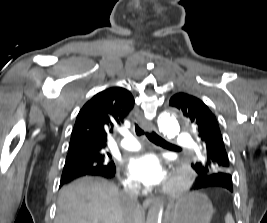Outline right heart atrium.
Listing matches in <instances>:
<instances>
[{
	"mask_svg": "<svg viewBox=\"0 0 267 223\" xmlns=\"http://www.w3.org/2000/svg\"><path fill=\"white\" fill-rule=\"evenodd\" d=\"M124 186L130 191H136L138 189L137 182L130 176L125 177L123 180Z\"/></svg>",
	"mask_w": 267,
	"mask_h": 223,
	"instance_id": "right-heart-atrium-1",
	"label": "right heart atrium"
}]
</instances>
